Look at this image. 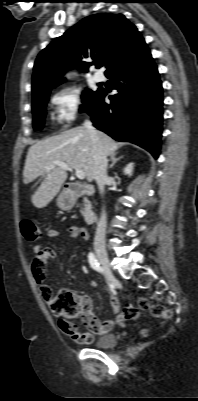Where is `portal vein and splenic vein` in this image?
<instances>
[{
  "label": "portal vein and splenic vein",
  "instance_id": "1",
  "mask_svg": "<svg viewBox=\"0 0 198 401\" xmlns=\"http://www.w3.org/2000/svg\"><path fill=\"white\" fill-rule=\"evenodd\" d=\"M54 164L58 165L59 167H61L63 170L65 171H70L71 168L64 162L62 161H54ZM51 169V166L46 167V170L49 171ZM76 177L78 179H84L85 178V173L82 170H76Z\"/></svg>",
  "mask_w": 198,
  "mask_h": 401
}]
</instances>
